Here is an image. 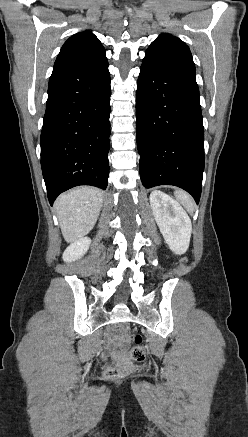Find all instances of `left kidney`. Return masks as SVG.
I'll use <instances>...</instances> for the list:
<instances>
[{
    "label": "left kidney",
    "instance_id": "5707ae66",
    "mask_svg": "<svg viewBox=\"0 0 248 437\" xmlns=\"http://www.w3.org/2000/svg\"><path fill=\"white\" fill-rule=\"evenodd\" d=\"M150 205L169 248L175 254H184L192 232L191 220L186 212L174 199L159 190L151 192Z\"/></svg>",
    "mask_w": 248,
    "mask_h": 437
}]
</instances>
